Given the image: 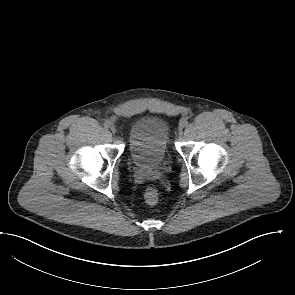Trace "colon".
<instances>
[{
  "instance_id": "colon-1",
  "label": "colon",
  "mask_w": 295,
  "mask_h": 295,
  "mask_svg": "<svg viewBox=\"0 0 295 295\" xmlns=\"http://www.w3.org/2000/svg\"><path fill=\"white\" fill-rule=\"evenodd\" d=\"M144 198L148 204L154 205L158 202V198H159L158 191L153 187H148L145 190Z\"/></svg>"
}]
</instances>
